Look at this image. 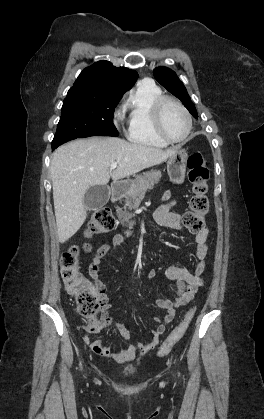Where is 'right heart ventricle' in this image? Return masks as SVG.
<instances>
[{
  "label": "right heart ventricle",
  "instance_id": "right-heart-ventricle-1",
  "mask_svg": "<svg viewBox=\"0 0 264 419\" xmlns=\"http://www.w3.org/2000/svg\"><path fill=\"white\" fill-rule=\"evenodd\" d=\"M162 90L151 81H141L129 94L125 110L128 112L127 138L139 145L165 147L166 142L155 133L152 118L153 104Z\"/></svg>",
  "mask_w": 264,
  "mask_h": 419
}]
</instances>
